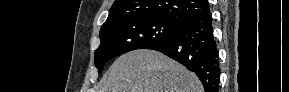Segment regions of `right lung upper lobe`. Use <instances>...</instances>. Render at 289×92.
Masks as SVG:
<instances>
[{
  "mask_svg": "<svg viewBox=\"0 0 289 92\" xmlns=\"http://www.w3.org/2000/svg\"><path fill=\"white\" fill-rule=\"evenodd\" d=\"M208 10L207 0H115L102 28L122 20L143 17L184 23Z\"/></svg>",
  "mask_w": 289,
  "mask_h": 92,
  "instance_id": "cb5924a9",
  "label": "right lung upper lobe"
}]
</instances>
